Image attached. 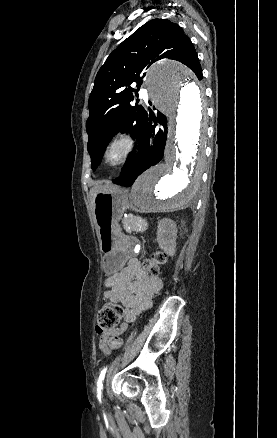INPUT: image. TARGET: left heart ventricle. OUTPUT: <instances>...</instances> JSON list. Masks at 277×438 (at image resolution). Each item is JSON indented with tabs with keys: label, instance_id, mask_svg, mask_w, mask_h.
<instances>
[{
	"label": "left heart ventricle",
	"instance_id": "left-heart-ventricle-1",
	"mask_svg": "<svg viewBox=\"0 0 277 438\" xmlns=\"http://www.w3.org/2000/svg\"><path fill=\"white\" fill-rule=\"evenodd\" d=\"M120 153H121V148H120V147H117V148L114 150L113 154L111 155V158L114 159V158L118 157V156L120 155Z\"/></svg>",
	"mask_w": 277,
	"mask_h": 438
}]
</instances>
